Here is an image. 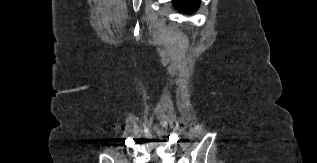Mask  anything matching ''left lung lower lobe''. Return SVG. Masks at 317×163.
<instances>
[{"mask_svg":"<svg viewBox=\"0 0 317 163\" xmlns=\"http://www.w3.org/2000/svg\"><path fill=\"white\" fill-rule=\"evenodd\" d=\"M200 0H173L174 6L183 12H194L198 8Z\"/></svg>","mask_w":317,"mask_h":163,"instance_id":"1","label":"left lung lower lobe"}]
</instances>
